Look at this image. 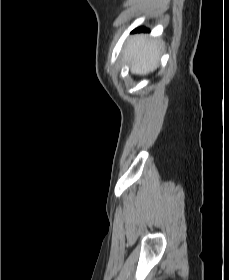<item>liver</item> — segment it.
<instances>
[{"label":"liver","instance_id":"obj_1","mask_svg":"<svg viewBox=\"0 0 229 280\" xmlns=\"http://www.w3.org/2000/svg\"><path fill=\"white\" fill-rule=\"evenodd\" d=\"M124 57L131 64V72L146 75L158 66V42L148 41L144 36L131 39L124 49Z\"/></svg>","mask_w":229,"mask_h":280}]
</instances>
